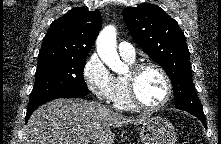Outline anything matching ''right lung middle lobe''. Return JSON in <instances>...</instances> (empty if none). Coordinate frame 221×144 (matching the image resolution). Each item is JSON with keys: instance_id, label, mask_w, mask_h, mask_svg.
Returning a JSON list of instances; mask_svg holds the SVG:
<instances>
[{"instance_id": "right-lung-middle-lobe-1", "label": "right lung middle lobe", "mask_w": 221, "mask_h": 144, "mask_svg": "<svg viewBox=\"0 0 221 144\" xmlns=\"http://www.w3.org/2000/svg\"><path fill=\"white\" fill-rule=\"evenodd\" d=\"M85 62L86 57H38L35 85L30 94L28 109L38 106L57 93L78 92L88 94V88L83 77Z\"/></svg>"}]
</instances>
